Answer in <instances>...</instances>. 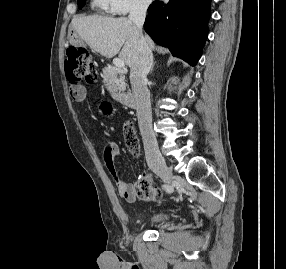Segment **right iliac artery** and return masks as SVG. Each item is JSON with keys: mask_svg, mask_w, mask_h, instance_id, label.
<instances>
[{"mask_svg": "<svg viewBox=\"0 0 286 269\" xmlns=\"http://www.w3.org/2000/svg\"><path fill=\"white\" fill-rule=\"evenodd\" d=\"M163 188L166 189L168 192H171V188H169L167 185H163Z\"/></svg>", "mask_w": 286, "mask_h": 269, "instance_id": "right-iliac-artery-1", "label": "right iliac artery"}]
</instances>
